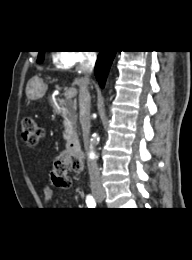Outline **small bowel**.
I'll use <instances>...</instances> for the list:
<instances>
[{
	"label": "small bowel",
	"instance_id": "c3829d8e",
	"mask_svg": "<svg viewBox=\"0 0 192 260\" xmlns=\"http://www.w3.org/2000/svg\"><path fill=\"white\" fill-rule=\"evenodd\" d=\"M53 188L50 185H45L43 187V195H44V202L46 205H49L53 199Z\"/></svg>",
	"mask_w": 192,
	"mask_h": 260
}]
</instances>
